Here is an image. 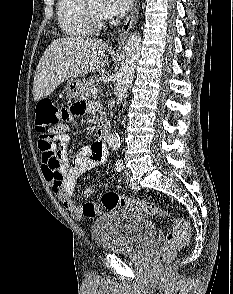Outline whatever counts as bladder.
Segmentation results:
<instances>
[{
  "instance_id": "1",
  "label": "bladder",
  "mask_w": 233,
  "mask_h": 294,
  "mask_svg": "<svg viewBox=\"0 0 233 294\" xmlns=\"http://www.w3.org/2000/svg\"><path fill=\"white\" fill-rule=\"evenodd\" d=\"M92 238L105 252L137 255L154 240V223L141 211L120 206L98 217L91 227Z\"/></svg>"
}]
</instances>
